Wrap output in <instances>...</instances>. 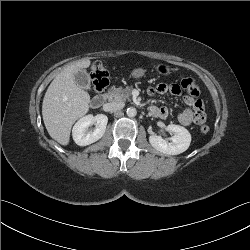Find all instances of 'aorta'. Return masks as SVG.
Returning <instances> with one entry per match:
<instances>
[{"label":"aorta","instance_id":"762f6f07","mask_svg":"<svg viewBox=\"0 0 250 250\" xmlns=\"http://www.w3.org/2000/svg\"><path fill=\"white\" fill-rule=\"evenodd\" d=\"M126 113L128 117H135L137 114V110L134 107H129L127 108Z\"/></svg>","mask_w":250,"mask_h":250}]
</instances>
